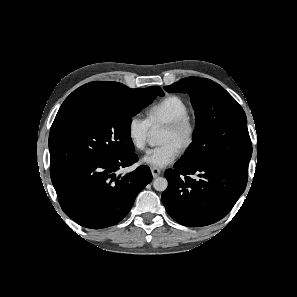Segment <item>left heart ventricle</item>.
<instances>
[{
  "label": "left heart ventricle",
  "mask_w": 297,
  "mask_h": 297,
  "mask_svg": "<svg viewBox=\"0 0 297 297\" xmlns=\"http://www.w3.org/2000/svg\"><path fill=\"white\" fill-rule=\"evenodd\" d=\"M183 140H184L183 132H172L165 129H162L159 137L160 144L172 143L176 145L178 148H180Z\"/></svg>",
  "instance_id": "b2bd125f"
}]
</instances>
